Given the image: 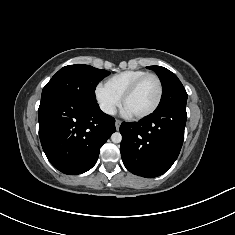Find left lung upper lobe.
I'll return each mask as SVG.
<instances>
[{"mask_svg": "<svg viewBox=\"0 0 235 235\" xmlns=\"http://www.w3.org/2000/svg\"><path fill=\"white\" fill-rule=\"evenodd\" d=\"M148 69L154 70L162 83V98L157 109L171 105H185L187 102V93L178 79L170 70L161 66H148Z\"/></svg>", "mask_w": 235, "mask_h": 235, "instance_id": "left-lung-upper-lobe-1", "label": "left lung upper lobe"}]
</instances>
